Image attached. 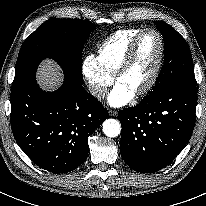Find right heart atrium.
I'll use <instances>...</instances> for the list:
<instances>
[{
	"label": "right heart atrium",
	"mask_w": 206,
	"mask_h": 206,
	"mask_svg": "<svg viewBox=\"0 0 206 206\" xmlns=\"http://www.w3.org/2000/svg\"><path fill=\"white\" fill-rule=\"evenodd\" d=\"M82 73L87 82L90 94L96 99L105 97L114 81V76L107 73L94 56H87L82 63Z\"/></svg>",
	"instance_id": "1"
}]
</instances>
